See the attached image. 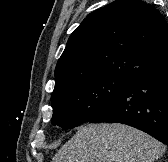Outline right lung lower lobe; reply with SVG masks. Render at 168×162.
Wrapping results in <instances>:
<instances>
[{"mask_svg":"<svg viewBox=\"0 0 168 162\" xmlns=\"http://www.w3.org/2000/svg\"><path fill=\"white\" fill-rule=\"evenodd\" d=\"M90 122L127 124L168 146V63L132 79Z\"/></svg>","mask_w":168,"mask_h":162,"instance_id":"98d812e1","label":"right lung lower lobe"}]
</instances>
